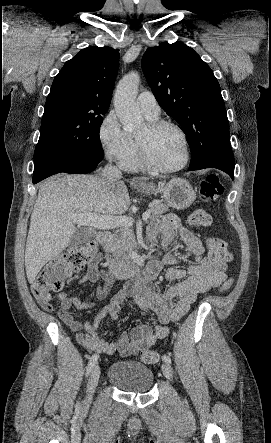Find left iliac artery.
Segmentation results:
<instances>
[{
	"mask_svg": "<svg viewBox=\"0 0 271 443\" xmlns=\"http://www.w3.org/2000/svg\"><path fill=\"white\" fill-rule=\"evenodd\" d=\"M162 360L165 362V363H171V358L169 357V356H167V355H163L162 356Z\"/></svg>",
	"mask_w": 271,
	"mask_h": 443,
	"instance_id": "left-iliac-artery-1",
	"label": "left iliac artery"
}]
</instances>
